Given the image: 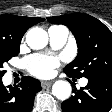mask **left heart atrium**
I'll list each match as a JSON object with an SVG mask.
<instances>
[{
  "label": "left heart atrium",
  "instance_id": "1",
  "mask_svg": "<svg viewBox=\"0 0 112 112\" xmlns=\"http://www.w3.org/2000/svg\"><path fill=\"white\" fill-rule=\"evenodd\" d=\"M61 58L42 54H33L25 59L28 71L36 77H48L60 65Z\"/></svg>",
  "mask_w": 112,
  "mask_h": 112
}]
</instances>
